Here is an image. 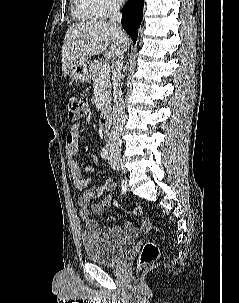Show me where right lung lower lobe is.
Listing matches in <instances>:
<instances>
[{"label":"right lung lower lobe","mask_w":239,"mask_h":303,"mask_svg":"<svg viewBox=\"0 0 239 303\" xmlns=\"http://www.w3.org/2000/svg\"><path fill=\"white\" fill-rule=\"evenodd\" d=\"M143 6L144 0H128L122 9V26L134 43L143 18Z\"/></svg>","instance_id":"1"}]
</instances>
